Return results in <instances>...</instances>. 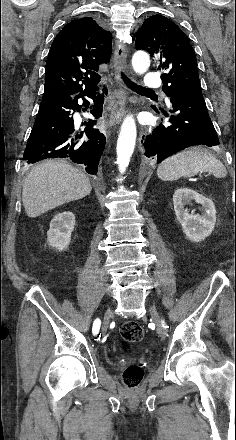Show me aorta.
<instances>
[{"label": "aorta", "mask_w": 236, "mask_h": 440, "mask_svg": "<svg viewBox=\"0 0 236 440\" xmlns=\"http://www.w3.org/2000/svg\"><path fill=\"white\" fill-rule=\"evenodd\" d=\"M150 66L149 55L144 51H136L132 57V67L138 74H144ZM136 123L132 115H128L121 126L117 140V165L121 173H124L129 165L136 143Z\"/></svg>", "instance_id": "aorta-1"}]
</instances>
